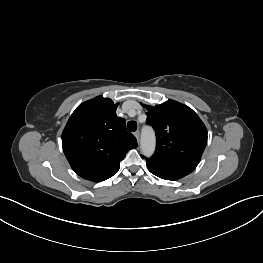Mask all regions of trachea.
I'll return each mask as SVG.
<instances>
[{"instance_id":"obj_1","label":"trachea","mask_w":263,"mask_h":263,"mask_svg":"<svg viewBox=\"0 0 263 263\" xmlns=\"http://www.w3.org/2000/svg\"><path fill=\"white\" fill-rule=\"evenodd\" d=\"M127 129L130 131V132H134L136 131L137 129V123L135 121H129L127 123Z\"/></svg>"}]
</instances>
